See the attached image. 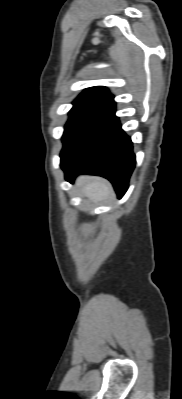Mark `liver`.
Here are the masks:
<instances>
[{"label": "liver", "mask_w": 182, "mask_h": 399, "mask_svg": "<svg viewBox=\"0 0 182 399\" xmlns=\"http://www.w3.org/2000/svg\"><path fill=\"white\" fill-rule=\"evenodd\" d=\"M78 184L82 187L84 195L93 202L107 199L112 195L111 185L102 179L82 177L78 180Z\"/></svg>", "instance_id": "liver-1"}]
</instances>
